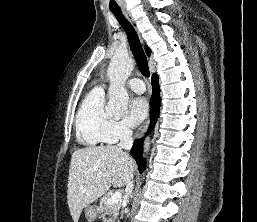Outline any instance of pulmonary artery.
<instances>
[{
    "instance_id": "1",
    "label": "pulmonary artery",
    "mask_w": 257,
    "mask_h": 222,
    "mask_svg": "<svg viewBox=\"0 0 257 222\" xmlns=\"http://www.w3.org/2000/svg\"><path fill=\"white\" fill-rule=\"evenodd\" d=\"M127 84L136 93H143L146 90L143 81L138 78L130 79Z\"/></svg>"
}]
</instances>
